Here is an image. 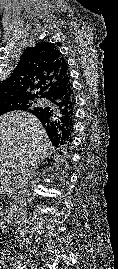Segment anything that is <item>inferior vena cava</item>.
<instances>
[{"mask_svg": "<svg viewBox=\"0 0 118 269\" xmlns=\"http://www.w3.org/2000/svg\"><path fill=\"white\" fill-rule=\"evenodd\" d=\"M32 168L34 165H31ZM32 168H30V165L23 164L20 168V170L17 173V186H18V197H17V203L18 206L21 208L20 213V224L23 226L25 224V192L28 187L29 179L31 178L32 174ZM23 230V229H22Z\"/></svg>", "mask_w": 118, "mask_h": 269, "instance_id": "inferior-vena-cava-1", "label": "inferior vena cava"}]
</instances>
